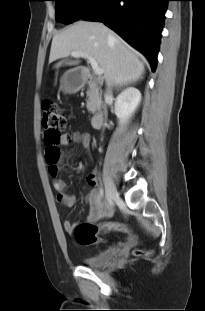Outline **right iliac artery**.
<instances>
[{"instance_id":"1","label":"right iliac artery","mask_w":205,"mask_h":311,"mask_svg":"<svg viewBox=\"0 0 205 311\" xmlns=\"http://www.w3.org/2000/svg\"><path fill=\"white\" fill-rule=\"evenodd\" d=\"M103 196H104V189H103V187L101 186V187L99 188V197H100V198H103Z\"/></svg>"}]
</instances>
